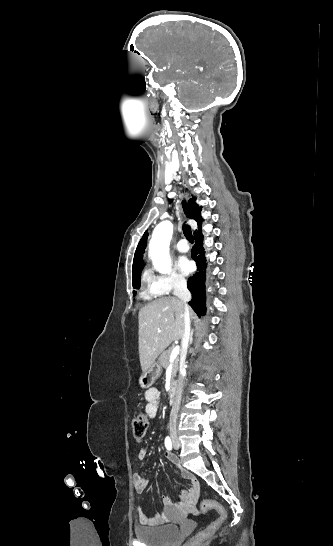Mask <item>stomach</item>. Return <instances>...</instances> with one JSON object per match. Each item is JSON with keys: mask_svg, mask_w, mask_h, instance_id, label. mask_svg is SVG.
I'll use <instances>...</instances> for the list:
<instances>
[{"mask_svg": "<svg viewBox=\"0 0 333 546\" xmlns=\"http://www.w3.org/2000/svg\"><path fill=\"white\" fill-rule=\"evenodd\" d=\"M162 373V367L158 361H155L143 374L141 375L139 379V383L141 387L148 388L151 387L155 380L160 377Z\"/></svg>", "mask_w": 333, "mask_h": 546, "instance_id": "1", "label": "stomach"}]
</instances>
